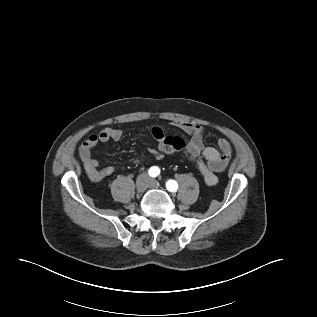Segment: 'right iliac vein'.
Masks as SVG:
<instances>
[{"label":"right iliac vein","mask_w":317,"mask_h":317,"mask_svg":"<svg viewBox=\"0 0 317 317\" xmlns=\"http://www.w3.org/2000/svg\"><path fill=\"white\" fill-rule=\"evenodd\" d=\"M149 185V179L147 175L143 174L136 180V190L138 193H143Z\"/></svg>","instance_id":"right-iliac-vein-1"}]
</instances>
